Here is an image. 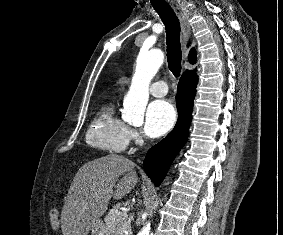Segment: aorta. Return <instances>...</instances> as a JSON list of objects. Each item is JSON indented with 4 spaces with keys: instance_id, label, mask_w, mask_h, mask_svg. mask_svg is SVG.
<instances>
[{
    "instance_id": "1",
    "label": "aorta",
    "mask_w": 283,
    "mask_h": 235,
    "mask_svg": "<svg viewBox=\"0 0 283 235\" xmlns=\"http://www.w3.org/2000/svg\"><path fill=\"white\" fill-rule=\"evenodd\" d=\"M163 61L164 53L159 49L139 53L132 84L123 102V120L133 124L143 122L149 99V85ZM137 235H150V222H147Z\"/></svg>"
}]
</instances>
